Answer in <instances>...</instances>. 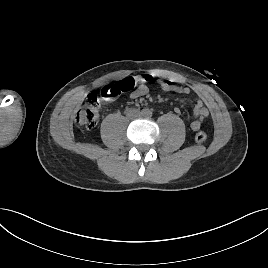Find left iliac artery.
I'll list each match as a JSON object with an SVG mask.
<instances>
[{"instance_id":"44dca946","label":"left iliac artery","mask_w":268,"mask_h":268,"mask_svg":"<svg viewBox=\"0 0 268 268\" xmlns=\"http://www.w3.org/2000/svg\"><path fill=\"white\" fill-rule=\"evenodd\" d=\"M148 115L151 117L152 116V112H149Z\"/></svg>"}]
</instances>
